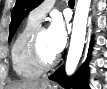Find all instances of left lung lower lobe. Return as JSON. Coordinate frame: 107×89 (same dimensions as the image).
I'll use <instances>...</instances> for the list:
<instances>
[{"label":"left lung lower lobe","instance_id":"1","mask_svg":"<svg viewBox=\"0 0 107 89\" xmlns=\"http://www.w3.org/2000/svg\"><path fill=\"white\" fill-rule=\"evenodd\" d=\"M88 64L85 63L82 67L71 77H67L65 74L64 66H61L56 72L49 76L50 80L58 82L65 88H76V89H89L87 85V73Z\"/></svg>","mask_w":107,"mask_h":89}]
</instances>
